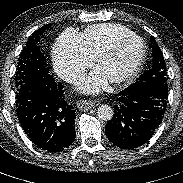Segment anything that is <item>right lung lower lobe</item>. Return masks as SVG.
Masks as SVG:
<instances>
[{"label": "right lung lower lobe", "mask_w": 183, "mask_h": 183, "mask_svg": "<svg viewBox=\"0 0 183 183\" xmlns=\"http://www.w3.org/2000/svg\"><path fill=\"white\" fill-rule=\"evenodd\" d=\"M63 85L52 75L22 84L16 89V111L28 138L37 147L60 152L75 135V111L64 97Z\"/></svg>", "instance_id": "obj_1"}]
</instances>
